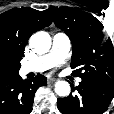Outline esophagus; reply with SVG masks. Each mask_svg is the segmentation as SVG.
Instances as JSON below:
<instances>
[{
    "label": "esophagus",
    "mask_w": 114,
    "mask_h": 114,
    "mask_svg": "<svg viewBox=\"0 0 114 114\" xmlns=\"http://www.w3.org/2000/svg\"><path fill=\"white\" fill-rule=\"evenodd\" d=\"M56 81H57V79L53 78V77L48 78V80H47L48 83H55Z\"/></svg>",
    "instance_id": "1"
}]
</instances>
